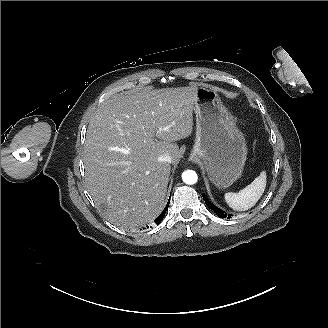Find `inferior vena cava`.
Masks as SVG:
<instances>
[{
    "label": "inferior vena cava",
    "instance_id": "obj_1",
    "mask_svg": "<svg viewBox=\"0 0 328 328\" xmlns=\"http://www.w3.org/2000/svg\"><path fill=\"white\" fill-rule=\"evenodd\" d=\"M158 159L159 161L171 162V156L169 154H162Z\"/></svg>",
    "mask_w": 328,
    "mask_h": 328
}]
</instances>
